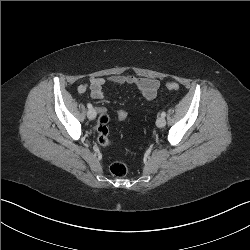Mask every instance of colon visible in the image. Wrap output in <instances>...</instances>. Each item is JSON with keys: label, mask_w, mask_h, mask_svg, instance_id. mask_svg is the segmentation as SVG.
Segmentation results:
<instances>
[{"label": "colon", "mask_w": 250, "mask_h": 250, "mask_svg": "<svg viewBox=\"0 0 250 250\" xmlns=\"http://www.w3.org/2000/svg\"><path fill=\"white\" fill-rule=\"evenodd\" d=\"M166 88L171 91H177L179 90L180 86L176 82H168L166 84ZM117 115V123L124 122L128 114L126 113V110L119 109L116 112ZM108 121L109 117L106 113H103L99 116L98 123H97V133H98V144L101 147H106L109 145L110 141L108 138ZM127 166L124 162L117 161L111 164L110 166V172L113 176L117 178H122L127 174Z\"/></svg>", "instance_id": "obj_1"}]
</instances>
